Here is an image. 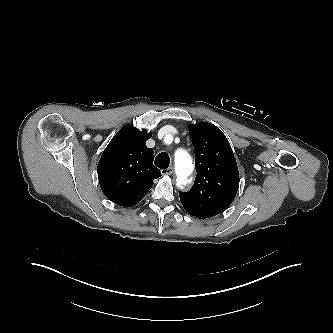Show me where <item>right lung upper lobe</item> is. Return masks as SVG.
Segmentation results:
<instances>
[{
	"label": "right lung upper lobe",
	"instance_id": "obj_1",
	"mask_svg": "<svg viewBox=\"0 0 333 333\" xmlns=\"http://www.w3.org/2000/svg\"><path fill=\"white\" fill-rule=\"evenodd\" d=\"M147 133L127 125L121 128L104 150L98 178L105 196L123 207L140 202L161 172L153 165L154 151L146 146Z\"/></svg>",
	"mask_w": 333,
	"mask_h": 333
}]
</instances>
